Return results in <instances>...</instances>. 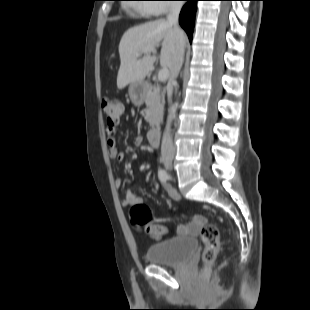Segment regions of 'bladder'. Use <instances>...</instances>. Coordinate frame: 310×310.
I'll list each match as a JSON object with an SVG mask.
<instances>
[{"instance_id": "1", "label": "bladder", "mask_w": 310, "mask_h": 310, "mask_svg": "<svg viewBox=\"0 0 310 310\" xmlns=\"http://www.w3.org/2000/svg\"><path fill=\"white\" fill-rule=\"evenodd\" d=\"M198 249L193 238L172 237L147 248L145 257L150 264L180 266L188 262Z\"/></svg>"}]
</instances>
